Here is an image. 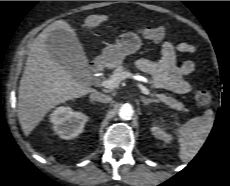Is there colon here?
Here are the masks:
<instances>
[{
    "mask_svg": "<svg viewBox=\"0 0 230 186\" xmlns=\"http://www.w3.org/2000/svg\"><path fill=\"white\" fill-rule=\"evenodd\" d=\"M141 35L149 41L162 42L168 38V33L163 27H145ZM195 100L201 106H209L212 102V95L206 89H198L195 92Z\"/></svg>",
    "mask_w": 230,
    "mask_h": 186,
    "instance_id": "colon-1",
    "label": "colon"
}]
</instances>
